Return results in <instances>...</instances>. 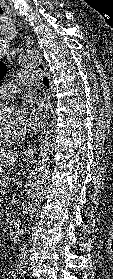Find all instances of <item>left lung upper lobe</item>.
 Here are the masks:
<instances>
[{"instance_id": "left-lung-upper-lobe-1", "label": "left lung upper lobe", "mask_w": 113, "mask_h": 279, "mask_svg": "<svg viewBox=\"0 0 113 279\" xmlns=\"http://www.w3.org/2000/svg\"><path fill=\"white\" fill-rule=\"evenodd\" d=\"M6 70V65L3 62H0V80L4 77Z\"/></svg>"}]
</instances>
